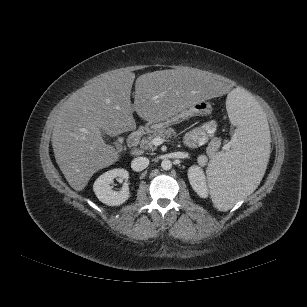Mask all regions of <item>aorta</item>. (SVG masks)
<instances>
[{
  "mask_svg": "<svg viewBox=\"0 0 307 307\" xmlns=\"http://www.w3.org/2000/svg\"><path fill=\"white\" fill-rule=\"evenodd\" d=\"M161 167L163 170H170L172 168V162L169 159H164L161 162Z\"/></svg>",
  "mask_w": 307,
  "mask_h": 307,
  "instance_id": "762f6f07",
  "label": "aorta"
}]
</instances>
